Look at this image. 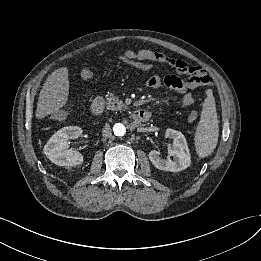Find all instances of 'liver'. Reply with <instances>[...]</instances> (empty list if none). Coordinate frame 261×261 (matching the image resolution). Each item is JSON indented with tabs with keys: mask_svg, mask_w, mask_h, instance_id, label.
I'll return each mask as SVG.
<instances>
[{
	"mask_svg": "<svg viewBox=\"0 0 261 261\" xmlns=\"http://www.w3.org/2000/svg\"><path fill=\"white\" fill-rule=\"evenodd\" d=\"M69 95L68 69L61 67L53 71L46 79L37 103L36 118L42 119L62 108Z\"/></svg>",
	"mask_w": 261,
	"mask_h": 261,
	"instance_id": "6515ba94",
	"label": "liver"
}]
</instances>
